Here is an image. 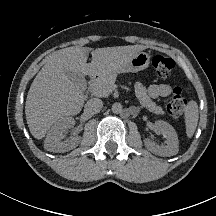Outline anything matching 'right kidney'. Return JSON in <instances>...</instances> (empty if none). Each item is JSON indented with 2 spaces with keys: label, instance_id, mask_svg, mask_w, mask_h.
<instances>
[{
  "label": "right kidney",
  "instance_id": "right-kidney-1",
  "mask_svg": "<svg viewBox=\"0 0 216 216\" xmlns=\"http://www.w3.org/2000/svg\"><path fill=\"white\" fill-rule=\"evenodd\" d=\"M75 121L72 117H64L58 120L52 128L49 130L45 142L44 148L50 152H67L78 146L80 143V137L74 136L71 139L62 141L64 138L63 132L73 127Z\"/></svg>",
  "mask_w": 216,
  "mask_h": 216
}]
</instances>
